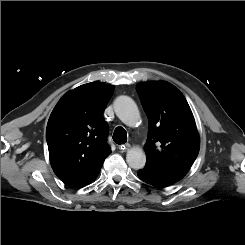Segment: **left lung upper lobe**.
I'll list each match as a JSON object with an SVG mask.
<instances>
[{
    "instance_id": "left-lung-upper-lobe-1",
    "label": "left lung upper lobe",
    "mask_w": 245,
    "mask_h": 245,
    "mask_svg": "<svg viewBox=\"0 0 245 245\" xmlns=\"http://www.w3.org/2000/svg\"><path fill=\"white\" fill-rule=\"evenodd\" d=\"M136 89L148 116L146 165L183 178L200 148L199 132L189 104L167 82H144Z\"/></svg>"
}]
</instances>
